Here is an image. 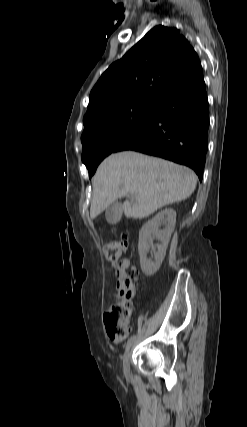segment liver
I'll return each mask as SVG.
<instances>
[{
	"label": "liver",
	"mask_w": 247,
	"mask_h": 427,
	"mask_svg": "<svg viewBox=\"0 0 247 427\" xmlns=\"http://www.w3.org/2000/svg\"><path fill=\"white\" fill-rule=\"evenodd\" d=\"M196 183V174L185 166L134 151L115 153L99 165L93 177L90 217L96 218L118 198L131 194V201L122 206L124 214L142 219L186 200Z\"/></svg>",
	"instance_id": "6515ba94"
}]
</instances>
